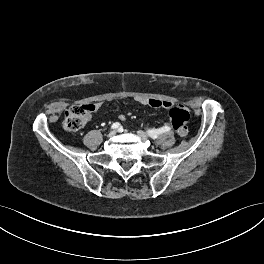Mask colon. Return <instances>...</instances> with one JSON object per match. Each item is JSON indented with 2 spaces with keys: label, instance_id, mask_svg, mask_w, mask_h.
I'll list each match as a JSON object with an SVG mask.
<instances>
[{
  "label": "colon",
  "instance_id": "1",
  "mask_svg": "<svg viewBox=\"0 0 264 264\" xmlns=\"http://www.w3.org/2000/svg\"><path fill=\"white\" fill-rule=\"evenodd\" d=\"M94 110L91 104L70 107L65 112L63 120L64 128L68 131L80 130L88 122ZM189 118V112L183 106H176L169 111V121L173 129L180 136H185L187 134Z\"/></svg>",
  "mask_w": 264,
  "mask_h": 264
}]
</instances>
